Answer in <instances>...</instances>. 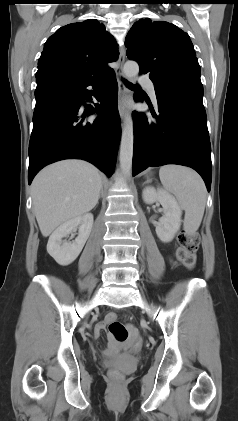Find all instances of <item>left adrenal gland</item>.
<instances>
[{
	"label": "left adrenal gland",
	"mask_w": 238,
	"mask_h": 421,
	"mask_svg": "<svg viewBox=\"0 0 238 421\" xmlns=\"http://www.w3.org/2000/svg\"><path fill=\"white\" fill-rule=\"evenodd\" d=\"M146 183H148V180H147L146 182H144V184H146ZM144 184H143V185H144Z\"/></svg>",
	"instance_id": "a2214340"
}]
</instances>
